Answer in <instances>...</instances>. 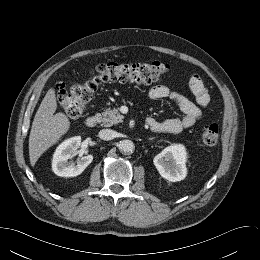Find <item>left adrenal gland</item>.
Masks as SVG:
<instances>
[{"instance_id": "obj_1", "label": "left adrenal gland", "mask_w": 260, "mask_h": 260, "mask_svg": "<svg viewBox=\"0 0 260 260\" xmlns=\"http://www.w3.org/2000/svg\"><path fill=\"white\" fill-rule=\"evenodd\" d=\"M154 138H150L149 140H153Z\"/></svg>"}]
</instances>
